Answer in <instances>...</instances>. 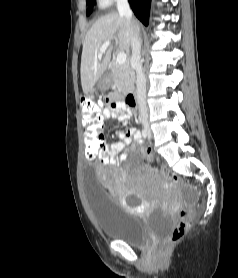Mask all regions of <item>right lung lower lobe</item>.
<instances>
[{
    "label": "right lung lower lobe",
    "instance_id": "98d812e1",
    "mask_svg": "<svg viewBox=\"0 0 238 278\" xmlns=\"http://www.w3.org/2000/svg\"><path fill=\"white\" fill-rule=\"evenodd\" d=\"M136 17L145 25L149 22L151 0H128Z\"/></svg>",
    "mask_w": 238,
    "mask_h": 278
}]
</instances>
